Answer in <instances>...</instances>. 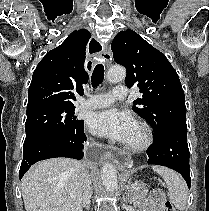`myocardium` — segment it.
I'll return each mask as SVG.
<instances>
[{
  "instance_id": "1",
  "label": "myocardium",
  "mask_w": 209,
  "mask_h": 211,
  "mask_svg": "<svg viewBox=\"0 0 209 211\" xmlns=\"http://www.w3.org/2000/svg\"><path fill=\"white\" fill-rule=\"evenodd\" d=\"M136 127L139 130V139L134 143H126L125 149L130 152H142L147 150L153 142V134L150 126L144 121H138Z\"/></svg>"
}]
</instances>
